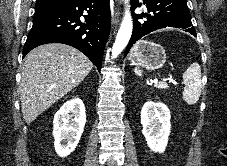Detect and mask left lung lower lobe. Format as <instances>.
Instances as JSON below:
<instances>
[{"label": "left lung lower lobe", "mask_w": 227, "mask_h": 166, "mask_svg": "<svg viewBox=\"0 0 227 166\" xmlns=\"http://www.w3.org/2000/svg\"><path fill=\"white\" fill-rule=\"evenodd\" d=\"M151 14H134V26L131 39L124 55L126 56L133 44L141 37L158 29L166 27L183 28L196 37L195 28L191 22V15L186 0H143ZM132 11L135 10L138 0H131ZM147 17L145 21H138Z\"/></svg>", "instance_id": "0a47b994"}]
</instances>
